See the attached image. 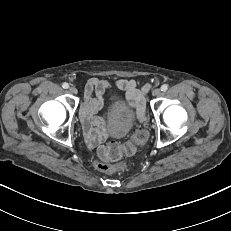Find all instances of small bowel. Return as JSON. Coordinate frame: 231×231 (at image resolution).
Wrapping results in <instances>:
<instances>
[{
    "instance_id": "c3829d8e",
    "label": "small bowel",
    "mask_w": 231,
    "mask_h": 231,
    "mask_svg": "<svg viewBox=\"0 0 231 231\" xmlns=\"http://www.w3.org/2000/svg\"><path fill=\"white\" fill-rule=\"evenodd\" d=\"M111 85L98 78H91L86 84L85 99L80 109V119L86 143L89 148L98 146L107 136L104 119L97 117V112L103 105V93ZM114 86L124 92L126 102L133 107L140 118L144 115L145 94L148 85L141 88L135 80L119 79Z\"/></svg>"
}]
</instances>
